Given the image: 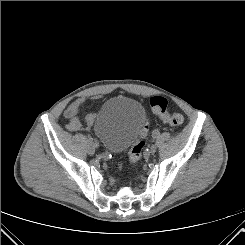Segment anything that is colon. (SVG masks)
Listing matches in <instances>:
<instances>
[{"mask_svg":"<svg viewBox=\"0 0 245 245\" xmlns=\"http://www.w3.org/2000/svg\"><path fill=\"white\" fill-rule=\"evenodd\" d=\"M152 110L162 119L163 122L171 126H179L184 121V116L179 112L170 113L167 110V100L162 96H153L150 99ZM148 126L145 125L141 131L140 139L137 140L130 149L129 161L132 166L136 165L142 157L145 147L144 139L147 136Z\"/></svg>","mask_w":245,"mask_h":245,"instance_id":"colon-1","label":"colon"}]
</instances>
